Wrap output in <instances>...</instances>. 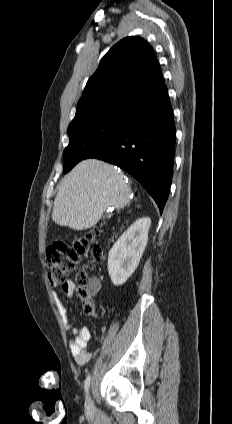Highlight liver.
<instances>
[{"mask_svg": "<svg viewBox=\"0 0 232 424\" xmlns=\"http://www.w3.org/2000/svg\"><path fill=\"white\" fill-rule=\"evenodd\" d=\"M130 199L131 188L121 171L104 161L86 159L62 180L54 200L52 220L74 230L88 229L108 207L124 208Z\"/></svg>", "mask_w": 232, "mask_h": 424, "instance_id": "liver-1", "label": "liver"}]
</instances>
